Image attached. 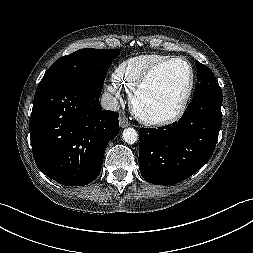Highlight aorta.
Listing matches in <instances>:
<instances>
[{
	"instance_id": "762f6f07",
	"label": "aorta",
	"mask_w": 253,
	"mask_h": 253,
	"mask_svg": "<svg viewBox=\"0 0 253 253\" xmlns=\"http://www.w3.org/2000/svg\"><path fill=\"white\" fill-rule=\"evenodd\" d=\"M122 136L128 144H134L138 140V133L134 128L124 129Z\"/></svg>"
}]
</instances>
